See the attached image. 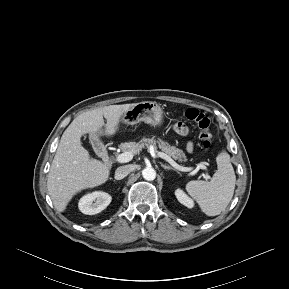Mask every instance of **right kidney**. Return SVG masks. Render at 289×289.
<instances>
[{
	"label": "right kidney",
	"mask_w": 289,
	"mask_h": 289,
	"mask_svg": "<svg viewBox=\"0 0 289 289\" xmlns=\"http://www.w3.org/2000/svg\"><path fill=\"white\" fill-rule=\"evenodd\" d=\"M112 197L104 192L95 191L83 196L78 204L79 210L87 215H95L103 211L110 203Z\"/></svg>",
	"instance_id": "ca27d5eb"
}]
</instances>
